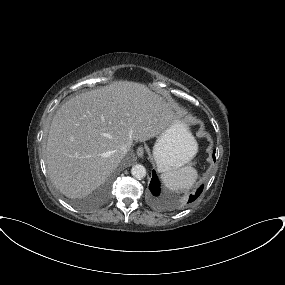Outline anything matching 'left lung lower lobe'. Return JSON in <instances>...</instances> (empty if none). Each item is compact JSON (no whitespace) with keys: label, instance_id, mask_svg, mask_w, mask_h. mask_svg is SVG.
Instances as JSON below:
<instances>
[{"label":"left lung lower lobe","instance_id":"left-lung-lower-lobe-1","mask_svg":"<svg viewBox=\"0 0 285 285\" xmlns=\"http://www.w3.org/2000/svg\"><path fill=\"white\" fill-rule=\"evenodd\" d=\"M213 158H214V160H215V152L213 153ZM153 177H152V179H151V182H150V184H149V189H150V191H151V193H152V195L154 196V197H158L159 195H160V182H159V180H158V178H157V176H156V174H155V171L153 170ZM202 190H203V186H201L197 191H196V193L194 194V195H190V197H189V199H188V201H187V203H191V202H193L194 200H196L198 197H199V195L201 194V192H202ZM156 202H158L156 199H154Z\"/></svg>","mask_w":285,"mask_h":285}]
</instances>
